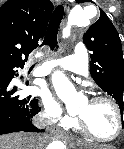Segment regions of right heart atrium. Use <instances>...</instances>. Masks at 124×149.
Listing matches in <instances>:
<instances>
[{
  "instance_id": "d8ad5b80",
  "label": "right heart atrium",
  "mask_w": 124,
  "mask_h": 149,
  "mask_svg": "<svg viewBox=\"0 0 124 149\" xmlns=\"http://www.w3.org/2000/svg\"><path fill=\"white\" fill-rule=\"evenodd\" d=\"M44 106L45 115L53 119L61 118V123L63 126L68 127L75 123L74 118L63 115L61 108L53 100L46 99L44 101Z\"/></svg>"
}]
</instances>
